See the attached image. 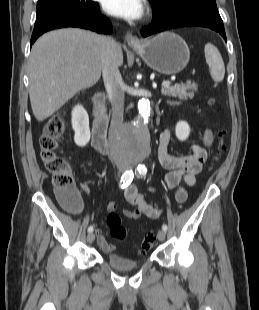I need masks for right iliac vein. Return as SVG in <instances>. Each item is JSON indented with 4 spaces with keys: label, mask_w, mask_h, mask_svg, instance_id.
I'll list each match as a JSON object with an SVG mask.
<instances>
[{
    "label": "right iliac vein",
    "mask_w": 259,
    "mask_h": 310,
    "mask_svg": "<svg viewBox=\"0 0 259 310\" xmlns=\"http://www.w3.org/2000/svg\"><path fill=\"white\" fill-rule=\"evenodd\" d=\"M119 171H124L126 168L125 166H118ZM95 240V234L94 233H89L87 236V242L88 243H93V241Z\"/></svg>",
    "instance_id": "63e3f726"
}]
</instances>
